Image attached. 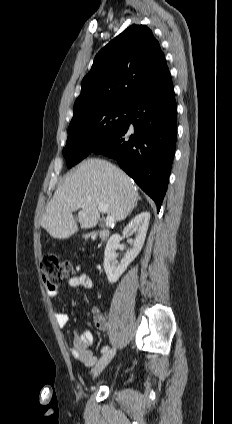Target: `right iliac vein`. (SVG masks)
<instances>
[{"mask_svg":"<svg viewBox=\"0 0 232 424\" xmlns=\"http://www.w3.org/2000/svg\"><path fill=\"white\" fill-rule=\"evenodd\" d=\"M115 353H116V349L113 348L102 355V357L99 359V361L94 367V370H93L94 378L97 377L105 369V367L110 363V361L115 356Z\"/></svg>","mask_w":232,"mask_h":424,"instance_id":"63e3f726","label":"right iliac vein"}]
</instances>
